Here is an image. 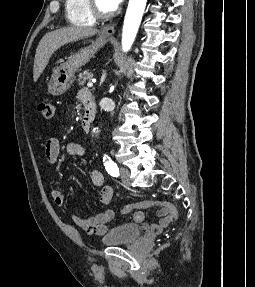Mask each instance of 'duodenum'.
Returning <instances> with one entry per match:
<instances>
[{
    "mask_svg": "<svg viewBox=\"0 0 255 287\" xmlns=\"http://www.w3.org/2000/svg\"><path fill=\"white\" fill-rule=\"evenodd\" d=\"M79 98L84 105V114L81 120V131L82 133H88L91 124L95 116V102L91 93L87 90H83L79 94Z\"/></svg>",
    "mask_w": 255,
    "mask_h": 287,
    "instance_id": "1",
    "label": "duodenum"
}]
</instances>
